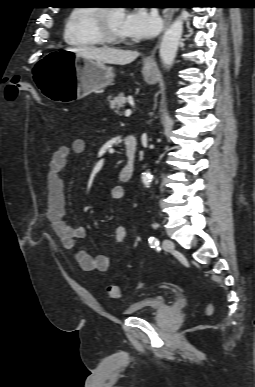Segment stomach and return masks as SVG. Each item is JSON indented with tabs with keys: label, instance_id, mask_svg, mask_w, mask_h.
<instances>
[{
	"label": "stomach",
	"instance_id": "1",
	"mask_svg": "<svg viewBox=\"0 0 255 387\" xmlns=\"http://www.w3.org/2000/svg\"><path fill=\"white\" fill-rule=\"evenodd\" d=\"M48 55L33 59L30 67V81L40 87L45 99L58 100L68 104L69 100L80 99L110 85L114 70L103 63L80 57L68 46H47ZM155 67L152 63L143 66V76L147 83H154Z\"/></svg>",
	"mask_w": 255,
	"mask_h": 387
}]
</instances>
